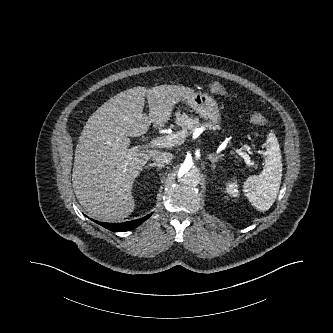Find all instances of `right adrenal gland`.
<instances>
[{"label": "right adrenal gland", "mask_w": 333, "mask_h": 333, "mask_svg": "<svg viewBox=\"0 0 333 333\" xmlns=\"http://www.w3.org/2000/svg\"><path fill=\"white\" fill-rule=\"evenodd\" d=\"M149 167H157L159 169H162V167H164L163 164H157V163H151V164H148L147 166H145V168H149Z\"/></svg>", "instance_id": "2a0ac1e0"}]
</instances>
